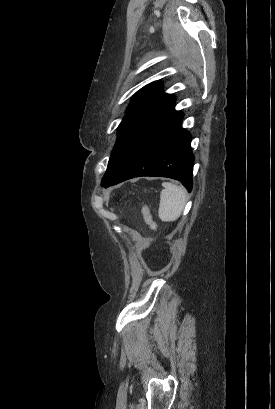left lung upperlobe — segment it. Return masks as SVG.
Here are the masks:
<instances>
[{"instance_id":"left-lung-upper-lobe-1","label":"left lung upper lobe","mask_w":275,"mask_h":409,"mask_svg":"<svg viewBox=\"0 0 275 409\" xmlns=\"http://www.w3.org/2000/svg\"><path fill=\"white\" fill-rule=\"evenodd\" d=\"M174 96L162 92L159 82H152L133 97L127 114L118 127V137L101 186H110L120 172L130 150L145 132L174 107Z\"/></svg>"}]
</instances>
